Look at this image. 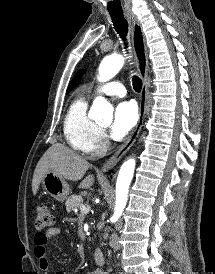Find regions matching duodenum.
I'll return each instance as SVG.
<instances>
[{
  "mask_svg": "<svg viewBox=\"0 0 215 274\" xmlns=\"http://www.w3.org/2000/svg\"><path fill=\"white\" fill-rule=\"evenodd\" d=\"M95 263L98 265H103L105 262L104 253L100 248H96L93 253Z\"/></svg>",
  "mask_w": 215,
  "mask_h": 274,
  "instance_id": "1",
  "label": "duodenum"
}]
</instances>
